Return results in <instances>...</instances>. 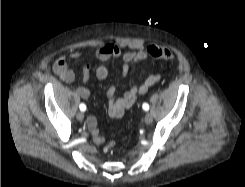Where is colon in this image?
<instances>
[{
    "label": "colon",
    "instance_id": "colon-1",
    "mask_svg": "<svg viewBox=\"0 0 245 187\" xmlns=\"http://www.w3.org/2000/svg\"><path fill=\"white\" fill-rule=\"evenodd\" d=\"M149 56L155 60L163 62H172L174 60V54L171 50L158 45H150L147 48ZM113 149L112 143H107L105 146L106 151H111Z\"/></svg>",
    "mask_w": 245,
    "mask_h": 187
}]
</instances>
